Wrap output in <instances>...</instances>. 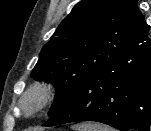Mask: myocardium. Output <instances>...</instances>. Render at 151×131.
I'll return each instance as SVG.
<instances>
[{
  "label": "myocardium",
  "mask_w": 151,
  "mask_h": 131,
  "mask_svg": "<svg viewBox=\"0 0 151 131\" xmlns=\"http://www.w3.org/2000/svg\"><path fill=\"white\" fill-rule=\"evenodd\" d=\"M56 89L50 82H36L20 97L19 108L30 116L43 110L55 98Z\"/></svg>",
  "instance_id": "obj_1"
}]
</instances>
